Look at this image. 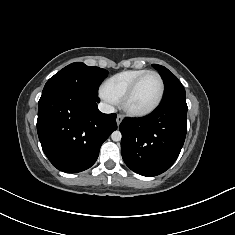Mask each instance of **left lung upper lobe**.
<instances>
[{
    "mask_svg": "<svg viewBox=\"0 0 235 235\" xmlns=\"http://www.w3.org/2000/svg\"><path fill=\"white\" fill-rule=\"evenodd\" d=\"M153 67L158 70L164 81L165 94L162 102L172 99L186 98V93L182 84L173 73L161 65L153 64Z\"/></svg>",
    "mask_w": 235,
    "mask_h": 235,
    "instance_id": "1",
    "label": "left lung upper lobe"
}]
</instances>
